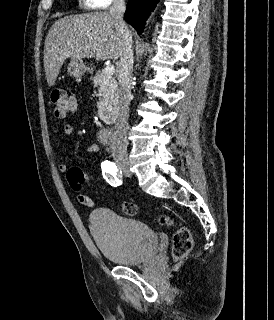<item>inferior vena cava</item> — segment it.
I'll list each match as a JSON object with an SVG mask.
<instances>
[{"label": "inferior vena cava", "mask_w": 274, "mask_h": 320, "mask_svg": "<svg viewBox=\"0 0 274 320\" xmlns=\"http://www.w3.org/2000/svg\"><path fill=\"white\" fill-rule=\"evenodd\" d=\"M125 10V0H113L110 16L113 18L115 32H117L121 42L120 68L118 70L119 102L117 122L121 132H126L127 130L133 70L132 34L123 20ZM126 146L127 142L124 140L121 148H126Z\"/></svg>", "instance_id": "obj_1"}]
</instances>
